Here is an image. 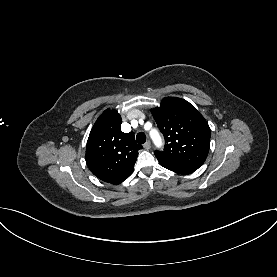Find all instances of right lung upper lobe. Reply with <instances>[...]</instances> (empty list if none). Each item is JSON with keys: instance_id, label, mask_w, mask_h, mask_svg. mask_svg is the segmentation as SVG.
Instances as JSON below:
<instances>
[{"instance_id": "right-lung-upper-lobe-1", "label": "right lung upper lobe", "mask_w": 277, "mask_h": 277, "mask_svg": "<svg viewBox=\"0 0 277 277\" xmlns=\"http://www.w3.org/2000/svg\"><path fill=\"white\" fill-rule=\"evenodd\" d=\"M121 116L116 110H105L95 122L86 146V163L102 181L117 185L134 170L138 150L142 148L133 132L121 131Z\"/></svg>"}]
</instances>
